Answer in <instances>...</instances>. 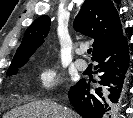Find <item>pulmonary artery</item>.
I'll return each instance as SVG.
<instances>
[{"instance_id":"pulmonary-artery-1","label":"pulmonary artery","mask_w":133,"mask_h":118,"mask_svg":"<svg viewBox=\"0 0 133 118\" xmlns=\"http://www.w3.org/2000/svg\"><path fill=\"white\" fill-rule=\"evenodd\" d=\"M84 52H85L84 48L79 49L80 54H83ZM75 65L80 71H84L88 67V63L84 59H77Z\"/></svg>"}]
</instances>
